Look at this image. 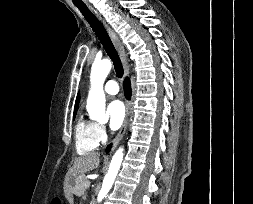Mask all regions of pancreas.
Here are the masks:
<instances>
[{"instance_id":"pancreas-1","label":"pancreas","mask_w":253,"mask_h":204,"mask_svg":"<svg viewBox=\"0 0 253 204\" xmlns=\"http://www.w3.org/2000/svg\"><path fill=\"white\" fill-rule=\"evenodd\" d=\"M87 181V178L84 176H80L76 179V184L73 189V192L78 196H83L84 192L86 190L85 183Z\"/></svg>"}]
</instances>
